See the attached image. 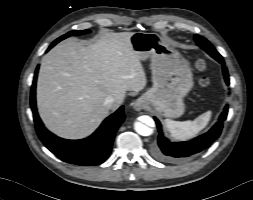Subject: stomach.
<instances>
[{
    "mask_svg": "<svg viewBox=\"0 0 253 200\" xmlns=\"http://www.w3.org/2000/svg\"><path fill=\"white\" fill-rule=\"evenodd\" d=\"M130 43L140 61L151 59L153 86L141 98L164 117H180L193 86L188 62L156 33L135 32Z\"/></svg>",
    "mask_w": 253,
    "mask_h": 200,
    "instance_id": "0dacf381",
    "label": "stomach"
}]
</instances>
